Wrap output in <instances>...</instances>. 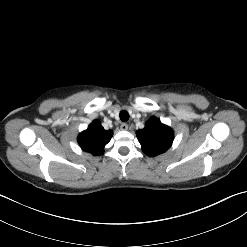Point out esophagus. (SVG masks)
I'll list each match as a JSON object with an SVG mask.
<instances>
[{
	"label": "esophagus",
	"mask_w": 247,
	"mask_h": 247,
	"mask_svg": "<svg viewBox=\"0 0 247 247\" xmlns=\"http://www.w3.org/2000/svg\"><path fill=\"white\" fill-rule=\"evenodd\" d=\"M120 129L121 130H127L128 129V124L122 123L121 126H120Z\"/></svg>",
	"instance_id": "obj_1"
}]
</instances>
